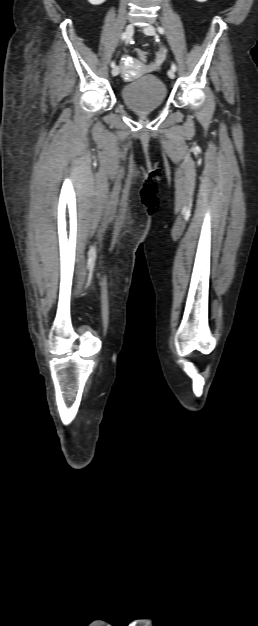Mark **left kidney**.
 Segmentation results:
<instances>
[{"mask_svg":"<svg viewBox=\"0 0 258 626\" xmlns=\"http://www.w3.org/2000/svg\"><path fill=\"white\" fill-rule=\"evenodd\" d=\"M197 2H206L207 0H195Z\"/></svg>","mask_w":258,"mask_h":626,"instance_id":"obj_1","label":"left kidney"}]
</instances>
